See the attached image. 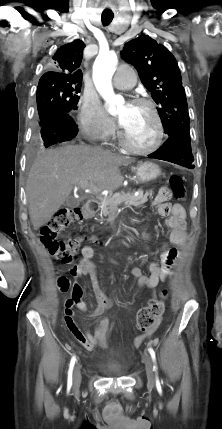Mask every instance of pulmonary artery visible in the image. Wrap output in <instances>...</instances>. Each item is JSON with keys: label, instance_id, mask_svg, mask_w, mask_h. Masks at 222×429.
<instances>
[{"label": "pulmonary artery", "instance_id": "e3ab8cb5", "mask_svg": "<svg viewBox=\"0 0 222 429\" xmlns=\"http://www.w3.org/2000/svg\"><path fill=\"white\" fill-rule=\"evenodd\" d=\"M135 82V72L128 65L120 66L113 78L114 85L119 89H130L135 85Z\"/></svg>", "mask_w": 222, "mask_h": 429}]
</instances>
